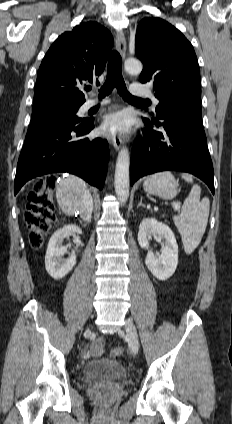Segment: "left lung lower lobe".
Here are the masks:
<instances>
[{
  "label": "left lung lower lobe",
  "mask_w": 232,
  "mask_h": 424,
  "mask_svg": "<svg viewBox=\"0 0 232 424\" xmlns=\"http://www.w3.org/2000/svg\"><path fill=\"white\" fill-rule=\"evenodd\" d=\"M157 118L144 119L147 127L132 148L130 183L155 172L174 170L203 180L214 194L213 165L202 124L201 105L174 103L161 108ZM162 127L163 131L151 132Z\"/></svg>",
  "instance_id": "0a47b994"
}]
</instances>
